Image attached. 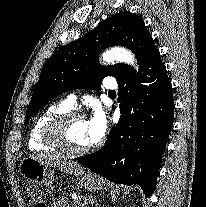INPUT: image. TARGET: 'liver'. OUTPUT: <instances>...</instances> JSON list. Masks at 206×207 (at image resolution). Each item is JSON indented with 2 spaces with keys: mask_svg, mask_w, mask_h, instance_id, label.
Segmentation results:
<instances>
[{
  "mask_svg": "<svg viewBox=\"0 0 206 207\" xmlns=\"http://www.w3.org/2000/svg\"><path fill=\"white\" fill-rule=\"evenodd\" d=\"M36 160L46 163L50 166H54L61 171L73 175H80L84 173V169L77 164L76 162L63 160L60 156L51 155V154H40L33 156Z\"/></svg>",
  "mask_w": 206,
  "mask_h": 207,
  "instance_id": "obj_1",
  "label": "liver"
}]
</instances>
